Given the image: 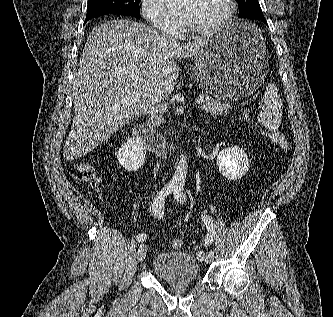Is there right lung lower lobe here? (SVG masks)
<instances>
[{
  "label": "right lung lower lobe",
  "instance_id": "obj_1",
  "mask_svg": "<svg viewBox=\"0 0 333 317\" xmlns=\"http://www.w3.org/2000/svg\"><path fill=\"white\" fill-rule=\"evenodd\" d=\"M88 21V19H85V23Z\"/></svg>",
  "mask_w": 333,
  "mask_h": 317
}]
</instances>
